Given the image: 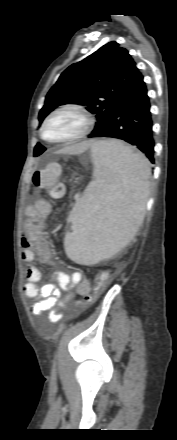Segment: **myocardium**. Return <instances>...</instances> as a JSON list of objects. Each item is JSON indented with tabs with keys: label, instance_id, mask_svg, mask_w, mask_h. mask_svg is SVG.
Returning <instances> with one entry per match:
<instances>
[{
	"label": "myocardium",
	"instance_id": "obj_1",
	"mask_svg": "<svg viewBox=\"0 0 177 440\" xmlns=\"http://www.w3.org/2000/svg\"><path fill=\"white\" fill-rule=\"evenodd\" d=\"M60 113H73L75 115H77L78 117H80V119L83 122V126L82 128L75 133L72 136L66 137V138H62V139H58V140H50L46 137L45 135V128L47 126V124L49 123V121L57 114ZM93 126V120L92 118L86 113V111H84L83 109L76 107V106H63V107H59L55 110H53L52 112H50L46 118L44 119L41 128H40V137L42 138V140H44L45 142L49 143V144H65V143H72L75 141H78L84 137L87 136V134L90 132L91 128Z\"/></svg>",
	"mask_w": 177,
	"mask_h": 440
}]
</instances>
